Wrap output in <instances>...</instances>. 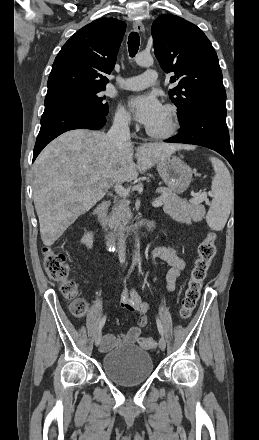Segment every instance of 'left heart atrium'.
Returning a JSON list of instances; mask_svg holds the SVG:
<instances>
[{"label": "left heart atrium", "instance_id": "1", "mask_svg": "<svg viewBox=\"0 0 259 440\" xmlns=\"http://www.w3.org/2000/svg\"><path fill=\"white\" fill-rule=\"evenodd\" d=\"M128 105L135 119L148 128L160 119L164 111L163 105L154 95L131 97Z\"/></svg>", "mask_w": 259, "mask_h": 440}]
</instances>
